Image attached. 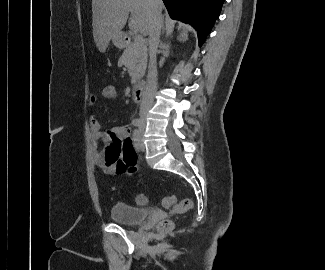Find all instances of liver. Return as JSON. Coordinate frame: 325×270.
<instances>
[{"mask_svg":"<svg viewBox=\"0 0 325 270\" xmlns=\"http://www.w3.org/2000/svg\"><path fill=\"white\" fill-rule=\"evenodd\" d=\"M93 38L104 53L110 40L121 34L128 14L129 29L144 36L149 34L151 9L148 0H92Z\"/></svg>","mask_w":325,"mask_h":270,"instance_id":"6515ba94","label":"liver"}]
</instances>
